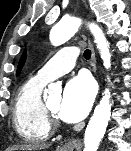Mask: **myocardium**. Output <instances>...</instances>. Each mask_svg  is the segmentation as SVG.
Here are the masks:
<instances>
[{
    "instance_id": "obj_1",
    "label": "myocardium",
    "mask_w": 131,
    "mask_h": 151,
    "mask_svg": "<svg viewBox=\"0 0 131 151\" xmlns=\"http://www.w3.org/2000/svg\"><path fill=\"white\" fill-rule=\"evenodd\" d=\"M44 108L48 117V121L51 125V128H58L60 126V121L58 118L57 113H55L49 106L47 103H44Z\"/></svg>"
}]
</instances>
